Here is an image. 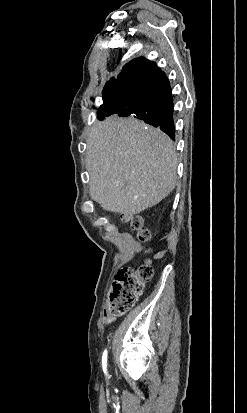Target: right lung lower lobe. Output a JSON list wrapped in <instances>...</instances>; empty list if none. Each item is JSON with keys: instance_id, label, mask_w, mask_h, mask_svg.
Here are the masks:
<instances>
[{"instance_id": "1", "label": "right lung lower lobe", "mask_w": 247, "mask_h": 413, "mask_svg": "<svg viewBox=\"0 0 247 413\" xmlns=\"http://www.w3.org/2000/svg\"><path fill=\"white\" fill-rule=\"evenodd\" d=\"M128 83L136 90L134 99L112 97L104 100L97 112L103 120L112 114L121 117L132 115L155 127H160L171 139H175L173 122V97L169 81L161 70L141 71Z\"/></svg>"}]
</instances>
